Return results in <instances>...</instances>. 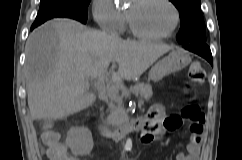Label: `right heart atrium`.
<instances>
[{
  "label": "right heart atrium",
  "instance_id": "obj_1",
  "mask_svg": "<svg viewBox=\"0 0 242 160\" xmlns=\"http://www.w3.org/2000/svg\"><path fill=\"white\" fill-rule=\"evenodd\" d=\"M92 16L98 26L110 35H116L124 28V14L112 0H93Z\"/></svg>",
  "mask_w": 242,
  "mask_h": 160
}]
</instances>
